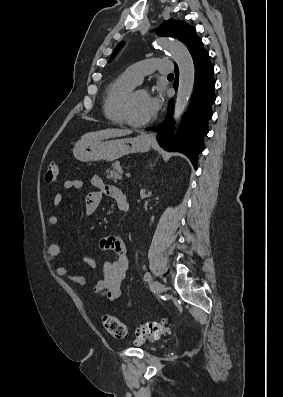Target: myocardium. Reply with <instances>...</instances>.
Segmentation results:
<instances>
[{"mask_svg": "<svg viewBox=\"0 0 283 397\" xmlns=\"http://www.w3.org/2000/svg\"><path fill=\"white\" fill-rule=\"evenodd\" d=\"M137 90L133 89L129 92V94L126 96L123 107H122V115L124 122L132 127H143L147 124H149L152 121V118H148L143 121H137L133 118L132 116V102L134 95Z\"/></svg>", "mask_w": 283, "mask_h": 397, "instance_id": "1", "label": "myocardium"}]
</instances>
